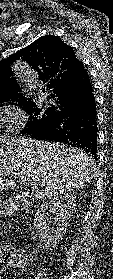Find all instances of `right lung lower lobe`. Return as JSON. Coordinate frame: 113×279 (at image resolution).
Instances as JSON below:
<instances>
[{"instance_id": "98d812e1", "label": "right lung lower lobe", "mask_w": 113, "mask_h": 279, "mask_svg": "<svg viewBox=\"0 0 113 279\" xmlns=\"http://www.w3.org/2000/svg\"><path fill=\"white\" fill-rule=\"evenodd\" d=\"M60 110L46 124L25 133L38 140H47L81 148L97 157L96 102L90 77L80 89L59 100Z\"/></svg>"}]
</instances>
